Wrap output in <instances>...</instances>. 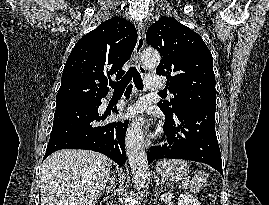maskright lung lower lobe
I'll list each match as a JSON object with an SVG mask.
<instances>
[{"mask_svg":"<svg viewBox=\"0 0 269 205\" xmlns=\"http://www.w3.org/2000/svg\"><path fill=\"white\" fill-rule=\"evenodd\" d=\"M128 87L126 96L131 93ZM95 106L66 107L55 110L53 128L45 157L60 149H87L100 152L119 165L126 162L125 134L128 121L102 124Z\"/></svg>","mask_w":269,"mask_h":205,"instance_id":"98d812e1","label":"right lung lower lobe"}]
</instances>
